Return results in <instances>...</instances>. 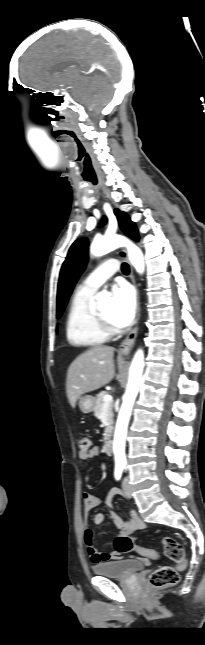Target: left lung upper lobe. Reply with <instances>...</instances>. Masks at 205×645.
I'll use <instances>...</instances> for the list:
<instances>
[{
  "mask_svg": "<svg viewBox=\"0 0 205 645\" xmlns=\"http://www.w3.org/2000/svg\"><path fill=\"white\" fill-rule=\"evenodd\" d=\"M114 213L125 235L133 240H138L137 228L129 216L125 212H120L118 209H115ZM105 222L106 218H103L102 223ZM88 246L89 242L86 238L76 240L70 247L62 265L57 291V318L61 316L74 285L85 268L88 260Z\"/></svg>",
  "mask_w": 205,
  "mask_h": 645,
  "instance_id": "obj_1",
  "label": "left lung upper lobe"
}]
</instances>
